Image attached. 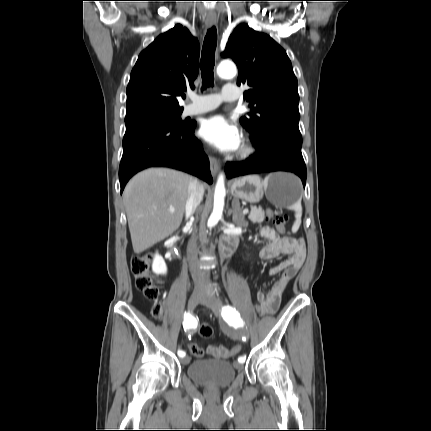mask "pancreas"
Listing matches in <instances>:
<instances>
[{
  "label": "pancreas",
  "mask_w": 431,
  "mask_h": 431,
  "mask_svg": "<svg viewBox=\"0 0 431 431\" xmlns=\"http://www.w3.org/2000/svg\"><path fill=\"white\" fill-rule=\"evenodd\" d=\"M248 219L253 223H261L265 219V212L261 207H252Z\"/></svg>",
  "instance_id": "pancreas-1"
}]
</instances>
